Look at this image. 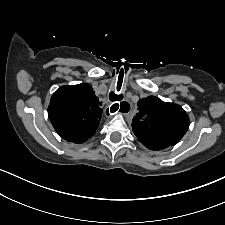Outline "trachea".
<instances>
[{"instance_id": "3493384b", "label": "trachea", "mask_w": 225, "mask_h": 225, "mask_svg": "<svg viewBox=\"0 0 225 225\" xmlns=\"http://www.w3.org/2000/svg\"><path fill=\"white\" fill-rule=\"evenodd\" d=\"M122 98H123V95L122 94H115L114 92H110V94H109V99L111 100V101H121L122 100ZM126 104L128 105V103L127 102H122L121 103V110L123 111V109H124V107L126 106ZM118 108H119V104L118 103H116L115 105H114V109L113 110H111V112H115V111H117L118 110ZM130 109V106L128 107V110Z\"/></svg>"}]
</instances>
